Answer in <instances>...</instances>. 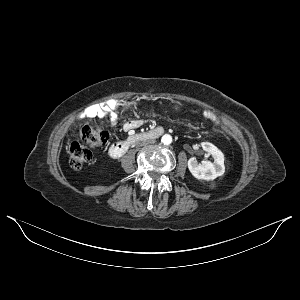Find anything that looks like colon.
Returning <instances> with one entry per match:
<instances>
[{"label":"colon","instance_id":"5ec220e1","mask_svg":"<svg viewBox=\"0 0 300 300\" xmlns=\"http://www.w3.org/2000/svg\"><path fill=\"white\" fill-rule=\"evenodd\" d=\"M80 137L81 142L72 141L68 146L69 163L75 169L91 161L93 154L88 146L103 148L111 139V133L101 129L97 124L87 123L82 126Z\"/></svg>","mask_w":300,"mask_h":300}]
</instances>
